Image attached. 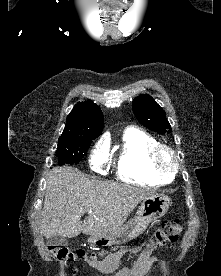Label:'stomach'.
<instances>
[{
  "label": "stomach",
  "mask_w": 221,
  "mask_h": 276,
  "mask_svg": "<svg viewBox=\"0 0 221 276\" xmlns=\"http://www.w3.org/2000/svg\"><path fill=\"white\" fill-rule=\"evenodd\" d=\"M171 199L164 194H153L145 198L137 215L118 230L102 236H90L88 242L96 247L119 245L131 241L141 235L148 225L165 215Z\"/></svg>",
  "instance_id": "obj_1"
}]
</instances>
